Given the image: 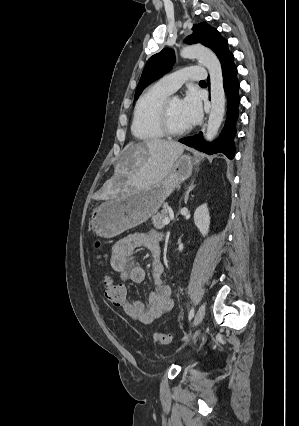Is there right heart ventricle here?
I'll list each match as a JSON object with an SVG mask.
<instances>
[{"mask_svg":"<svg viewBox=\"0 0 299 426\" xmlns=\"http://www.w3.org/2000/svg\"><path fill=\"white\" fill-rule=\"evenodd\" d=\"M171 94L159 82L150 86L138 99L131 126L132 134L141 141H155L164 137L158 124V113Z\"/></svg>","mask_w":299,"mask_h":426,"instance_id":"right-heart-ventricle-1","label":"right heart ventricle"}]
</instances>
